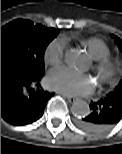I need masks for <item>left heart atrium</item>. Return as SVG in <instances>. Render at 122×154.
<instances>
[{
    "instance_id": "left-heart-atrium-1",
    "label": "left heart atrium",
    "mask_w": 122,
    "mask_h": 154,
    "mask_svg": "<svg viewBox=\"0 0 122 154\" xmlns=\"http://www.w3.org/2000/svg\"><path fill=\"white\" fill-rule=\"evenodd\" d=\"M47 85L52 90L69 96L87 95L92 92L94 84L88 75L77 73L68 68L51 70Z\"/></svg>"
}]
</instances>
